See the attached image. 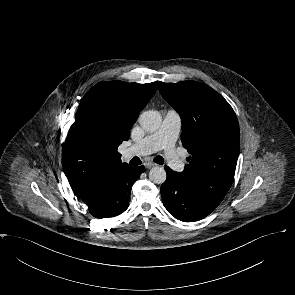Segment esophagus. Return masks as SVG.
<instances>
[{
	"instance_id": "obj_1",
	"label": "esophagus",
	"mask_w": 295,
	"mask_h": 295,
	"mask_svg": "<svg viewBox=\"0 0 295 295\" xmlns=\"http://www.w3.org/2000/svg\"><path fill=\"white\" fill-rule=\"evenodd\" d=\"M155 166H156V164L154 162H151V161L145 163V167L148 168V169L153 168Z\"/></svg>"
}]
</instances>
